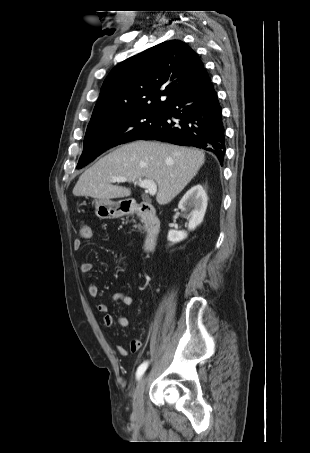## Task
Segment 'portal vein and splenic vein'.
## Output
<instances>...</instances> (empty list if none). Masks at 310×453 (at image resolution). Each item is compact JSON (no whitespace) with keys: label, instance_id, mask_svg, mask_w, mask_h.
<instances>
[{"label":"portal vein and splenic vein","instance_id":"portal-vein-and-splenic-vein-1","mask_svg":"<svg viewBox=\"0 0 310 453\" xmlns=\"http://www.w3.org/2000/svg\"><path fill=\"white\" fill-rule=\"evenodd\" d=\"M128 180L132 181L134 184H137L141 188L146 189L151 196H154L156 194V192H157L156 183L153 180H149V179L134 180V179H128V178L123 177V176H117V177H112L110 182L111 183H115V182L123 183V182H126Z\"/></svg>","mask_w":310,"mask_h":453}]
</instances>
